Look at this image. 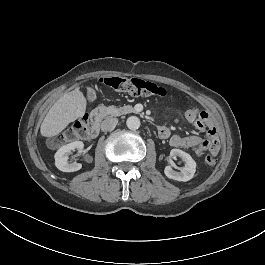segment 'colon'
<instances>
[{
    "mask_svg": "<svg viewBox=\"0 0 265 265\" xmlns=\"http://www.w3.org/2000/svg\"><path fill=\"white\" fill-rule=\"evenodd\" d=\"M100 83L116 92L126 93L134 97H167L169 95V91L165 86L137 77L108 76L101 78ZM73 137V131H67L64 135L52 136L50 142L53 145H60L64 138L72 139ZM216 161L217 158L214 154H207L204 157V163L206 165H214Z\"/></svg>",
    "mask_w": 265,
    "mask_h": 265,
    "instance_id": "colon-1",
    "label": "colon"
}]
</instances>
